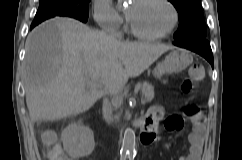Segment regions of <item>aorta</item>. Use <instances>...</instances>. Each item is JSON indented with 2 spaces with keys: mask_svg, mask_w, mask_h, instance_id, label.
I'll use <instances>...</instances> for the list:
<instances>
[{
  "mask_svg": "<svg viewBox=\"0 0 242 160\" xmlns=\"http://www.w3.org/2000/svg\"><path fill=\"white\" fill-rule=\"evenodd\" d=\"M135 132L131 128H127L124 132L122 149L124 151H132L135 148Z\"/></svg>",
  "mask_w": 242,
  "mask_h": 160,
  "instance_id": "762f6f07",
  "label": "aorta"
}]
</instances>
